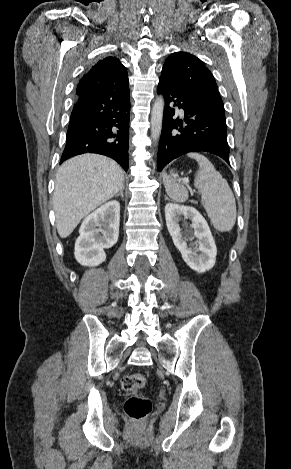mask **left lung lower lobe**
Returning a JSON list of instances; mask_svg holds the SVG:
<instances>
[{
    "label": "left lung lower lobe",
    "mask_w": 291,
    "mask_h": 469,
    "mask_svg": "<svg viewBox=\"0 0 291 469\" xmlns=\"http://www.w3.org/2000/svg\"><path fill=\"white\" fill-rule=\"evenodd\" d=\"M157 92L165 99L158 170L161 171L170 161L189 152H209L229 164L225 111L181 92L161 79ZM175 108L185 111L183 121L172 118ZM183 123L186 124L184 128Z\"/></svg>",
    "instance_id": "obj_1"
}]
</instances>
